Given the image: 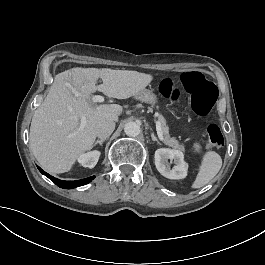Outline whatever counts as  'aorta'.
Wrapping results in <instances>:
<instances>
[{
	"label": "aorta",
	"instance_id": "1",
	"mask_svg": "<svg viewBox=\"0 0 265 265\" xmlns=\"http://www.w3.org/2000/svg\"><path fill=\"white\" fill-rule=\"evenodd\" d=\"M124 132L130 137L138 136L140 134V126L136 122H128L124 125Z\"/></svg>",
	"mask_w": 265,
	"mask_h": 265
}]
</instances>
